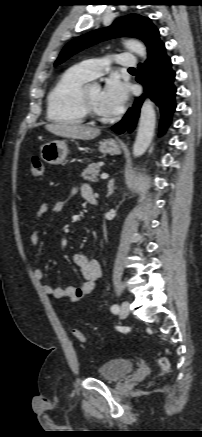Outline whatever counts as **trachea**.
Returning a JSON list of instances; mask_svg holds the SVG:
<instances>
[{
	"label": "trachea",
	"mask_w": 202,
	"mask_h": 437,
	"mask_svg": "<svg viewBox=\"0 0 202 437\" xmlns=\"http://www.w3.org/2000/svg\"><path fill=\"white\" fill-rule=\"evenodd\" d=\"M129 70H135L134 68H130Z\"/></svg>",
	"instance_id": "3493384b"
}]
</instances>
